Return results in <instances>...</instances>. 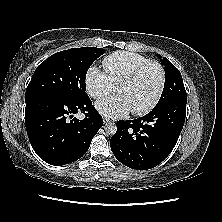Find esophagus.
Returning <instances> with one entry per match:
<instances>
[{
  "label": "esophagus",
  "mask_w": 222,
  "mask_h": 222,
  "mask_svg": "<svg viewBox=\"0 0 222 222\" xmlns=\"http://www.w3.org/2000/svg\"><path fill=\"white\" fill-rule=\"evenodd\" d=\"M103 122H104V124H107V123H110V122H112V121L109 120V119H107V118H104V119H103Z\"/></svg>",
  "instance_id": "1"
}]
</instances>
